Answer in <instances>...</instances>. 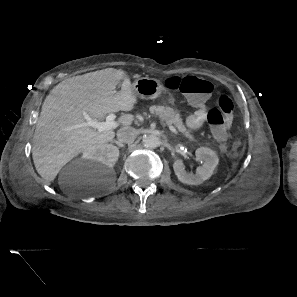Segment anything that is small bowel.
<instances>
[{
	"mask_svg": "<svg viewBox=\"0 0 297 297\" xmlns=\"http://www.w3.org/2000/svg\"><path fill=\"white\" fill-rule=\"evenodd\" d=\"M197 110L186 119V125L192 129L200 128L206 120L207 111L203 102L196 103Z\"/></svg>",
	"mask_w": 297,
	"mask_h": 297,
	"instance_id": "small-bowel-1",
	"label": "small bowel"
}]
</instances>
